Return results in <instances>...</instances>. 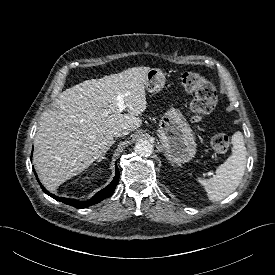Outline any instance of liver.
Segmentation results:
<instances>
[{"instance_id": "obj_1", "label": "liver", "mask_w": 275, "mask_h": 275, "mask_svg": "<svg viewBox=\"0 0 275 275\" xmlns=\"http://www.w3.org/2000/svg\"><path fill=\"white\" fill-rule=\"evenodd\" d=\"M149 67H133L66 89L55 108L44 112L34 138L33 163L50 190L87 169L112 146L120 129L135 131L146 110L145 81ZM123 95L128 113H121Z\"/></svg>"}]
</instances>
